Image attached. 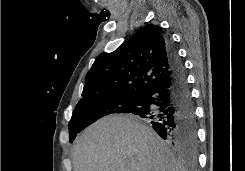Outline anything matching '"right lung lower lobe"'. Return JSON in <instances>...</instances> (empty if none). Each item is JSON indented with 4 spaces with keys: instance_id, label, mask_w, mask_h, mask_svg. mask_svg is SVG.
<instances>
[{
    "instance_id": "98d812e1",
    "label": "right lung lower lobe",
    "mask_w": 245,
    "mask_h": 171,
    "mask_svg": "<svg viewBox=\"0 0 245 171\" xmlns=\"http://www.w3.org/2000/svg\"><path fill=\"white\" fill-rule=\"evenodd\" d=\"M170 75L145 90L141 104L130 113L147 120L160 137L173 145L197 148V123L184 65L168 42Z\"/></svg>"
}]
</instances>
